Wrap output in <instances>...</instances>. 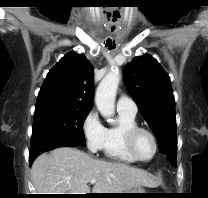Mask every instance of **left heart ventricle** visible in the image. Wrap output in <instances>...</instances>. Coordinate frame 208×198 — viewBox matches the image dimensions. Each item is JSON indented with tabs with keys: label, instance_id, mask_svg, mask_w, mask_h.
<instances>
[{
	"label": "left heart ventricle",
	"instance_id": "1",
	"mask_svg": "<svg viewBox=\"0 0 208 198\" xmlns=\"http://www.w3.org/2000/svg\"><path fill=\"white\" fill-rule=\"evenodd\" d=\"M135 148L142 158H150L155 150L154 142L150 135L140 132L135 139Z\"/></svg>",
	"mask_w": 208,
	"mask_h": 198
}]
</instances>
